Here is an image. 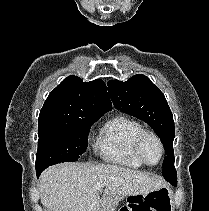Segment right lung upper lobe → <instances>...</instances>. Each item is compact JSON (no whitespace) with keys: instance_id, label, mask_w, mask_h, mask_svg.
<instances>
[{"instance_id":"obj_1","label":"right lung upper lobe","mask_w":209,"mask_h":211,"mask_svg":"<svg viewBox=\"0 0 209 211\" xmlns=\"http://www.w3.org/2000/svg\"><path fill=\"white\" fill-rule=\"evenodd\" d=\"M111 108L102 80L83 82L81 78L71 75L49 94L40 111L39 121L101 117Z\"/></svg>"}]
</instances>
